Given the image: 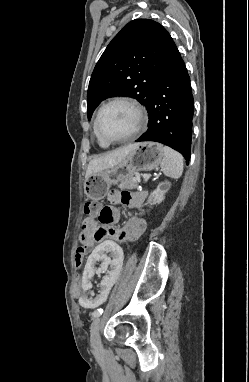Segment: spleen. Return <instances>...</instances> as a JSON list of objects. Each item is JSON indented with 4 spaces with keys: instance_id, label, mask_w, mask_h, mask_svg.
Instances as JSON below:
<instances>
[{
    "instance_id": "spleen-1",
    "label": "spleen",
    "mask_w": 249,
    "mask_h": 382,
    "mask_svg": "<svg viewBox=\"0 0 249 382\" xmlns=\"http://www.w3.org/2000/svg\"><path fill=\"white\" fill-rule=\"evenodd\" d=\"M161 170L168 177L180 178L183 173V156L172 148L164 146Z\"/></svg>"
}]
</instances>
